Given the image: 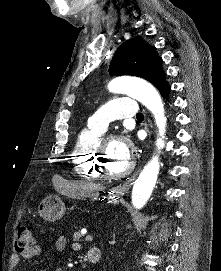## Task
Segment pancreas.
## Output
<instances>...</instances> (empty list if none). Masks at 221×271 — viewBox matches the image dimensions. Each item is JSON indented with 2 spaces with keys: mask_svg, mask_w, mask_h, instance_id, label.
<instances>
[{
  "mask_svg": "<svg viewBox=\"0 0 221 271\" xmlns=\"http://www.w3.org/2000/svg\"><path fill=\"white\" fill-rule=\"evenodd\" d=\"M73 242H82V233L80 231H75Z\"/></svg>",
  "mask_w": 221,
  "mask_h": 271,
  "instance_id": "1",
  "label": "pancreas"
}]
</instances>
